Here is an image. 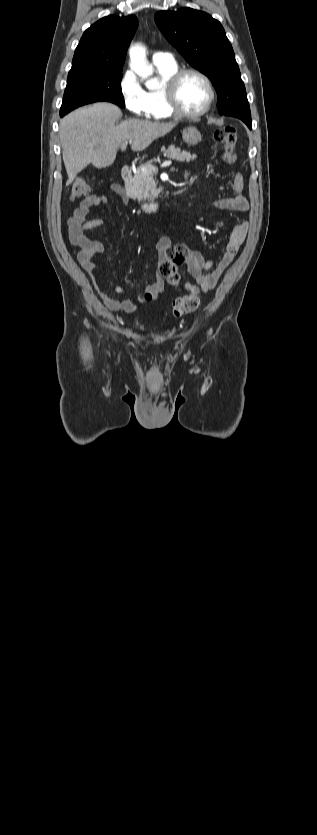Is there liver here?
<instances>
[{"label":"liver","mask_w":317,"mask_h":835,"mask_svg":"<svg viewBox=\"0 0 317 835\" xmlns=\"http://www.w3.org/2000/svg\"><path fill=\"white\" fill-rule=\"evenodd\" d=\"M121 116L116 105L100 102L76 109L62 118L59 134L67 185L90 163L97 168L110 166L124 142L129 141L132 151H143L177 125L139 119L116 125Z\"/></svg>","instance_id":"obj_1"}]
</instances>
